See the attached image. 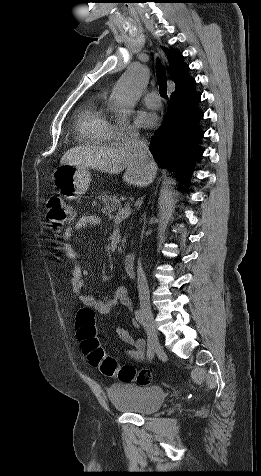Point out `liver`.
Segmentation results:
<instances>
[{
	"mask_svg": "<svg viewBox=\"0 0 261 476\" xmlns=\"http://www.w3.org/2000/svg\"><path fill=\"white\" fill-rule=\"evenodd\" d=\"M154 163V162H153ZM61 165L92 168L109 174L125 170L123 181L129 185L144 187L155 178L157 165L148 170L124 147L79 146L68 150L60 160Z\"/></svg>",
	"mask_w": 261,
	"mask_h": 476,
	"instance_id": "1",
	"label": "liver"
}]
</instances>
